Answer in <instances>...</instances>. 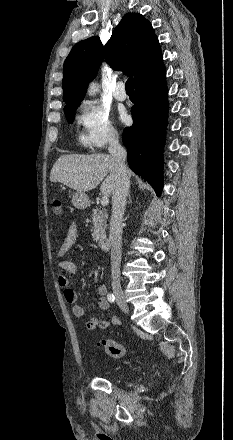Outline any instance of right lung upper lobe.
<instances>
[{
  "label": "right lung upper lobe",
  "mask_w": 233,
  "mask_h": 440,
  "mask_svg": "<svg viewBox=\"0 0 233 440\" xmlns=\"http://www.w3.org/2000/svg\"><path fill=\"white\" fill-rule=\"evenodd\" d=\"M103 57L111 68L134 76L135 85L164 66L159 41L150 22L141 14L127 13L104 47L95 36L78 42L72 48L64 63L62 87L65 108L83 100Z\"/></svg>",
  "instance_id": "obj_1"
}]
</instances>
